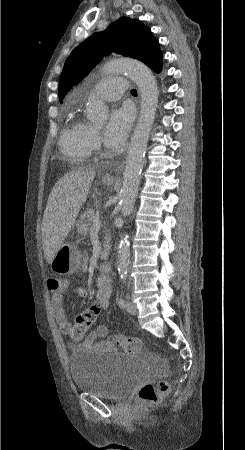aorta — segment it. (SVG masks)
<instances>
[{
    "label": "aorta",
    "mask_w": 245,
    "mask_h": 450,
    "mask_svg": "<svg viewBox=\"0 0 245 450\" xmlns=\"http://www.w3.org/2000/svg\"><path fill=\"white\" fill-rule=\"evenodd\" d=\"M127 73L141 93V110L131 138L121 188V211L128 217L134 208L141 179L144 155L158 104V87L152 71L143 63L131 59H115L106 63L102 74ZM87 116L95 124H103L108 116L104 102L96 96L89 98ZM130 256L129 236L122 235L118 251V271L126 277Z\"/></svg>",
    "instance_id": "762f6f07"
}]
</instances>
